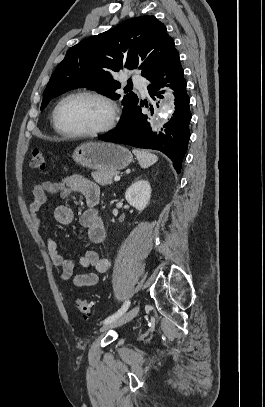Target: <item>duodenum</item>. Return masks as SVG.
<instances>
[{"instance_id":"duodenum-1","label":"duodenum","mask_w":265,"mask_h":407,"mask_svg":"<svg viewBox=\"0 0 265 407\" xmlns=\"http://www.w3.org/2000/svg\"><path fill=\"white\" fill-rule=\"evenodd\" d=\"M96 204H98V200H95V201H94V205H96Z\"/></svg>"}]
</instances>
